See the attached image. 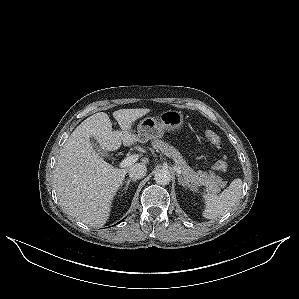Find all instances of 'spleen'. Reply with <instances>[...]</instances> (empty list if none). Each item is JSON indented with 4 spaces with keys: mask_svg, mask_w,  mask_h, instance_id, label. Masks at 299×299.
Returning <instances> with one entry per match:
<instances>
[{
    "mask_svg": "<svg viewBox=\"0 0 299 299\" xmlns=\"http://www.w3.org/2000/svg\"><path fill=\"white\" fill-rule=\"evenodd\" d=\"M243 182L240 178L234 179L229 187L222 193H203L205 202L203 217L206 219H216L226 214L239 201L242 194Z\"/></svg>",
    "mask_w": 299,
    "mask_h": 299,
    "instance_id": "3e777b00",
    "label": "spleen"
}]
</instances>
